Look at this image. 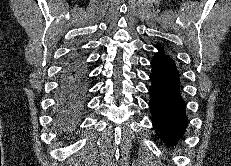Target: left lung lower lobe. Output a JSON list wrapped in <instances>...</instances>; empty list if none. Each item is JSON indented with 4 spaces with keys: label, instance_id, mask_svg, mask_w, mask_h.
<instances>
[{
    "label": "left lung lower lobe",
    "instance_id": "0a47b994",
    "mask_svg": "<svg viewBox=\"0 0 231 166\" xmlns=\"http://www.w3.org/2000/svg\"><path fill=\"white\" fill-rule=\"evenodd\" d=\"M157 49L158 52L151 60L149 107L156 134L167 146H174L186 131V106L181 95L180 72L175 61L163 46L158 45Z\"/></svg>",
    "mask_w": 231,
    "mask_h": 166
}]
</instances>
